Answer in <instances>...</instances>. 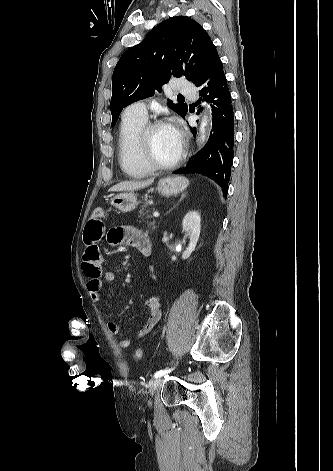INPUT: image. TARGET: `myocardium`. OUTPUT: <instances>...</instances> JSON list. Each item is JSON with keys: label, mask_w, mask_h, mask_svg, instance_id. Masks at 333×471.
I'll use <instances>...</instances> for the list:
<instances>
[{"label": "myocardium", "mask_w": 333, "mask_h": 471, "mask_svg": "<svg viewBox=\"0 0 333 471\" xmlns=\"http://www.w3.org/2000/svg\"><path fill=\"white\" fill-rule=\"evenodd\" d=\"M162 126H168V125L164 123L163 121H154V122L148 123L145 125V127L143 128L139 136L138 143H139V150H140L141 156L143 160L145 161V163L149 165L153 170H171L177 167L185 157L184 146H181L177 156L171 162L163 163V162L158 161L154 157L150 149L149 138L153 131H155L156 129Z\"/></svg>", "instance_id": "1"}]
</instances>
